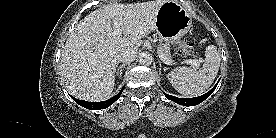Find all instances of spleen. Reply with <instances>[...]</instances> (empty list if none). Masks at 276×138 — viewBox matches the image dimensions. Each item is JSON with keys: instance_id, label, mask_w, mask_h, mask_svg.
<instances>
[{"instance_id": "obj_1", "label": "spleen", "mask_w": 276, "mask_h": 138, "mask_svg": "<svg viewBox=\"0 0 276 138\" xmlns=\"http://www.w3.org/2000/svg\"><path fill=\"white\" fill-rule=\"evenodd\" d=\"M205 61L201 68L177 67L168 73L172 86L186 97H194L205 92L214 82L219 67L220 53L214 45L205 51Z\"/></svg>"}]
</instances>
